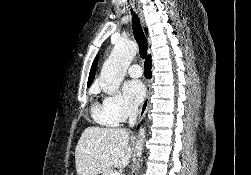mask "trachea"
<instances>
[{
  "label": "trachea",
  "mask_w": 251,
  "mask_h": 175,
  "mask_svg": "<svg viewBox=\"0 0 251 175\" xmlns=\"http://www.w3.org/2000/svg\"><path fill=\"white\" fill-rule=\"evenodd\" d=\"M131 13H132L133 33H134L135 40L139 46L140 56H141V58H146L147 48H148L147 40H146V37H145L144 32L142 30L138 16L133 11H131Z\"/></svg>",
  "instance_id": "trachea-1"
}]
</instances>
